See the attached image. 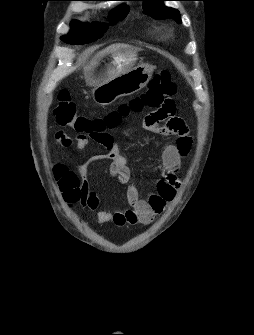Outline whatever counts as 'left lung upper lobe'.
<instances>
[{"label": "left lung upper lobe", "mask_w": 254, "mask_h": 335, "mask_svg": "<svg viewBox=\"0 0 254 335\" xmlns=\"http://www.w3.org/2000/svg\"><path fill=\"white\" fill-rule=\"evenodd\" d=\"M143 1L144 12L157 19L172 18L177 23H181L180 13L178 10L163 5L167 0H140Z\"/></svg>", "instance_id": "obj_1"}]
</instances>
